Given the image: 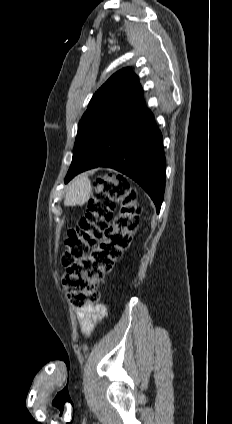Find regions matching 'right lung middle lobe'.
<instances>
[{"label":"right lung middle lobe","mask_w":232,"mask_h":424,"mask_svg":"<svg viewBox=\"0 0 232 424\" xmlns=\"http://www.w3.org/2000/svg\"><path fill=\"white\" fill-rule=\"evenodd\" d=\"M133 108L106 106L87 110L79 124L75 140L72 163L67 178L78 174L91 154L116 128L132 119Z\"/></svg>","instance_id":"1"}]
</instances>
